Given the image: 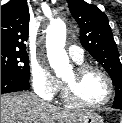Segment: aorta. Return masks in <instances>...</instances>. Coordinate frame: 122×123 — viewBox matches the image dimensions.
<instances>
[{
	"label": "aorta",
	"mask_w": 122,
	"mask_h": 123,
	"mask_svg": "<svg viewBox=\"0 0 122 123\" xmlns=\"http://www.w3.org/2000/svg\"><path fill=\"white\" fill-rule=\"evenodd\" d=\"M66 40L65 22L58 18L47 28L46 48L50 66L57 75L70 68L69 58L64 49Z\"/></svg>",
	"instance_id": "1"
}]
</instances>
